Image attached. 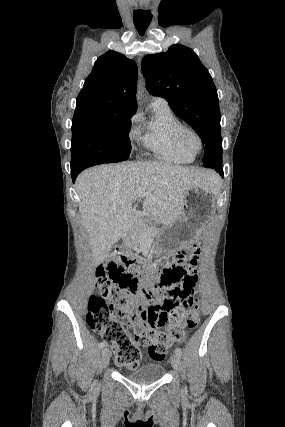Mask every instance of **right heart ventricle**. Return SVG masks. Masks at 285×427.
Returning a JSON list of instances; mask_svg holds the SVG:
<instances>
[{
	"mask_svg": "<svg viewBox=\"0 0 285 427\" xmlns=\"http://www.w3.org/2000/svg\"><path fill=\"white\" fill-rule=\"evenodd\" d=\"M150 112L148 119H141L144 145L160 160L177 164L192 162L194 155L184 151L177 141L176 132L182 123L167 103L153 102Z\"/></svg>",
	"mask_w": 285,
	"mask_h": 427,
	"instance_id": "right-heart-ventricle-1",
	"label": "right heart ventricle"
}]
</instances>
